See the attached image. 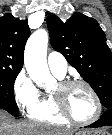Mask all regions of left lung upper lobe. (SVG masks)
Here are the masks:
<instances>
[{"instance_id":"1","label":"left lung upper lobe","mask_w":112,"mask_h":135,"mask_svg":"<svg viewBox=\"0 0 112 135\" xmlns=\"http://www.w3.org/2000/svg\"><path fill=\"white\" fill-rule=\"evenodd\" d=\"M46 21L52 47L90 84L105 108H112V54L97 21L82 13L66 22L50 14Z\"/></svg>"}]
</instances>
